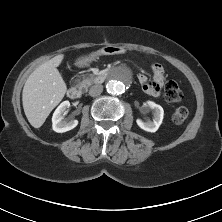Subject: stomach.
I'll use <instances>...</instances> for the list:
<instances>
[{
	"label": "stomach",
	"instance_id": "obj_1",
	"mask_svg": "<svg viewBox=\"0 0 222 222\" xmlns=\"http://www.w3.org/2000/svg\"><path fill=\"white\" fill-rule=\"evenodd\" d=\"M124 53V49L118 46L107 45L103 47L97 54H90L80 56L75 60V65L78 67H84L89 65L97 55H115Z\"/></svg>",
	"mask_w": 222,
	"mask_h": 222
}]
</instances>
